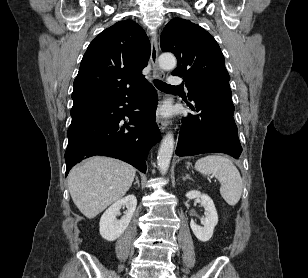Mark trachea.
<instances>
[{"instance_id":"1","label":"trachea","mask_w":308,"mask_h":278,"mask_svg":"<svg viewBox=\"0 0 308 278\" xmlns=\"http://www.w3.org/2000/svg\"><path fill=\"white\" fill-rule=\"evenodd\" d=\"M154 84L161 91L177 90V89L180 88L178 86H171V85H169V84H167L165 82H162L160 80H154Z\"/></svg>"}]
</instances>
